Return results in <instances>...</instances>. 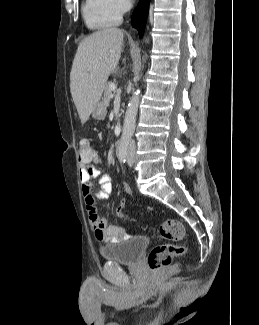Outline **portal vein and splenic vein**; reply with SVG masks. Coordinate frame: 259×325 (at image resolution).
Returning <instances> with one entry per match:
<instances>
[{"label": "portal vein and splenic vein", "mask_w": 259, "mask_h": 325, "mask_svg": "<svg viewBox=\"0 0 259 325\" xmlns=\"http://www.w3.org/2000/svg\"><path fill=\"white\" fill-rule=\"evenodd\" d=\"M110 89H111L112 91H114V90L116 89V86H115L114 83H111V84H110Z\"/></svg>", "instance_id": "18ae733b"}]
</instances>
